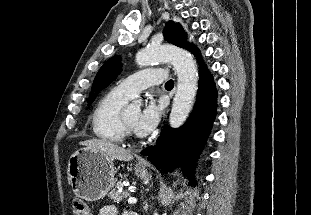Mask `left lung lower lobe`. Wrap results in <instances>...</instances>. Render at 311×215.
<instances>
[{"label":"left lung lower lobe","mask_w":311,"mask_h":215,"mask_svg":"<svg viewBox=\"0 0 311 215\" xmlns=\"http://www.w3.org/2000/svg\"><path fill=\"white\" fill-rule=\"evenodd\" d=\"M188 49L197 53L191 45ZM216 102L217 92L212 75L201 64L197 99L187 122L178 129L165 126L157 144L144 149L141 154L149 155L148 160L164 172L171 171L179 162L188 164L193 161L212 127L216 115ZM190 170L188 168V174Z\"/></svg>","instance_id":"0a47b994"}]
</instances>
